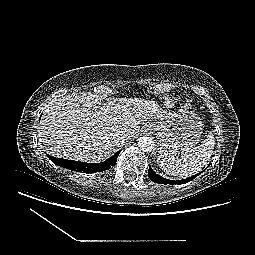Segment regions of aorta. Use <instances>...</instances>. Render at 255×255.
Segmentation results:
<instances>
[{
  "label": "aorta",
  "mask_w": 255,
  "mask_h": 255,
  "mask_svg": "<svg viewBox=\"0 0 255 255\" xmlns=\"http://www.w3.org/2000/svg\"><path fill=\"white\" fill-rule=\"evenodd\" d=\"M138 146L144 152L151 151L154 148V140L147 136L140 137L138 139Z\"/></svg>",
  "instance_id": "obj_1"
}]
</instances>
